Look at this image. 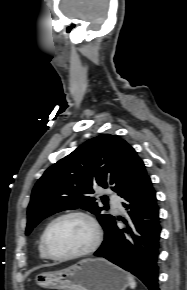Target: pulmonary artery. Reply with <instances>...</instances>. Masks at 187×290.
<instances>
[{
  "label": "pulmonary artery",
  "mask_w": 187,
  "mask_h": 290,
  "mask_svg": "<svg viewBox=\"0 0 187 290\" xmlns=\"http://www.w3.org/2000/svg\"><path fill=\"white\" fill-rule=\"evenodd\" d=\"M111 201L113 203V205L118 209V210H122V206L120 204V202L118 200L115 199V195L111 194L110 195Z\"/></svg>",
  "instance_id": "e3ab8cb5"
}]
</instances>
